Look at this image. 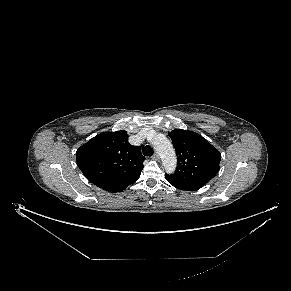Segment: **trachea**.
I'll return each instance as SVG.
<instances>
[{
  "label": "trachea",
  "mask_w": 291,
  "mask_h": 291,
  "mask_svg": "<svg viewBox=\"0 0 291 291\" xmlns=\"http://www.w3.org/2000/svg\"><path fill=\"white\" fill-rule=\"evenodd\" d=\"M143 154L144 156H149V157L152 156L153 155L152 148L149 145L145 146L143 149Z\"/></svg>",
  "instance_id": "obj_1"
}]
</instances>
